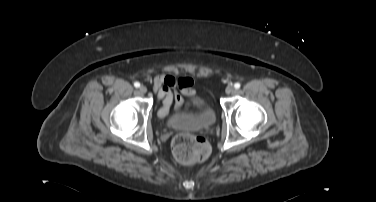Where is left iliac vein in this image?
I'll use <instances>...</instances> for the list:
<instances>
[{
  "label": "left iliac vein",
  "mask_w": 376,
  "mask_h": 202,
  "mask_svg": "<svg viewBox=\"0 0 376 202\" xmlns=\"http://www.w3.org/2000/svg\"><path fill=\"white\" fill-rule=\"evenodd\" d=\"M233 91H234V87H233L232 85H228V86L226 87L225 92H226L227 94H231Z\"/></svg>",
  "instance_id": "obj_1"
}]
</instances>
